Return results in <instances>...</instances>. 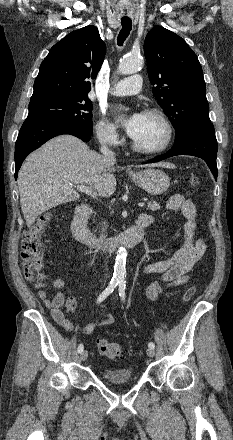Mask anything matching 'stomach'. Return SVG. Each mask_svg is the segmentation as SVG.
Returning <instances> with one entry per match:
<instances>
[{
  "label": "stomach",
  "mask_w": 233,
  "mask_h": 440,
  "mask_svg": "<svg viewBox=\"0 0 233 440\" xmlns=\"http://www.w3.org/2000/svg\"><path fill=\"white\" fill-rule=\"evenodd\" d=\"M130 178L151 195H161L170 186V178L159 169H145L131 173Z\"/></svg>",
  "instance_id": "1"
}]
</instances>
